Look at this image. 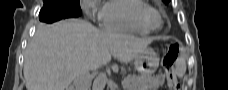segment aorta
<instances>
[{"instance_id": "1", "label": "aorta", "mask_w": 228, "mask_h": 90, "mask_svg": "<svg viewBox=\"0 0 228 90\" xmlns=\"http://www.w3.org/2000/svg\"><path fill=\"white\" fill-rule=\"evenodd\" d=\"M107 80L106 74H99L93 82L92 90H104Z\"/></svg>"}]
</instances>
